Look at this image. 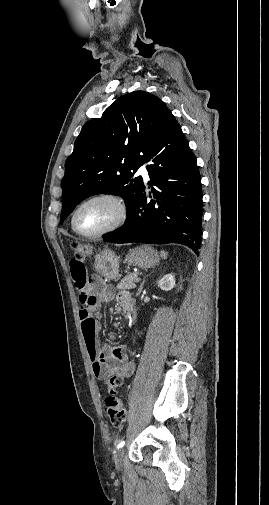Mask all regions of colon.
Here are the masks:
<instances>
[{"mask_svg":"<svg viewBox=\"0 0 269 505\" xmlns=\"http://www.w3.org/2000/svg\"><path fill=\"white\" fill-rule=\"evenodd\" d=\"M91 254V247L77 245L73 259H82L85 261ZM83 270L86 272L85 266ZM120 385L121 381L116 377H111L107 380L109 395L105 398V408L111 424L116 427L122 426L127 419V410L121 399L115 395V391Z\"/></svg>","mask_w":269,"mask_h":505,"instance_id":"1","label":"colon"}]
</instances>
